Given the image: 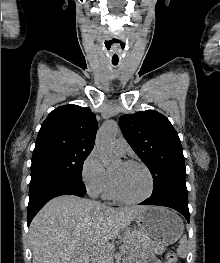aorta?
<instances>
[{"label": "aorta", "instance_id": "762f6f07", "mask_svg": "<svg viewBox=\"0 0 220 263\" xmlns=\"http://www.w3.org/2000/svg\"><path fill=\"white\" fill-rule=\"evenodd\" d=\"M118 126L114 122L104 124L99 130L96 138V148L102 163L109 168L119 161L113 151V142Z\"/></svg>", "mask_w": 220, "mask_h": 263}]
</instances>
